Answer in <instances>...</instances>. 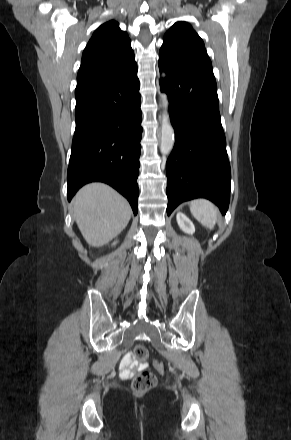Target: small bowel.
I'll list each match as a JSON object with an SVG mask.
<instances>
[{
    "label": "small bowel",
    "mask_w": 291,
    "mask_h": 440,
    "mask_svg": "<svg viewBox=\"0 0 291 440\" xmlns=\"http://www.w3.org/2000/svg\"><path fill=\"white\" fill-rule=\"evenodd\" d=\"M147 367V364L136 359L131 352L125 354L120 362V371L123 376H131L136 371H141Z\"/></svg>",
    "instance_id": "c3829d8e"
}]
</instances>
